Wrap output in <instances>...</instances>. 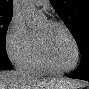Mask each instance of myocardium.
Here are the masks:
<instances>
[{
    "label": "myocardium",
    "mask_w": 89,
    "mask_h": 89,
    "mask_svg": "<svg viewBox=\"0 0 89 89\" xmlns=\"http://www.w3.org/2000/svg\"><path fill=\"white\" fill-rule=\"evenodd\" d=\"M50 25H53V26H58V27H61L65 30V32L67 33V35L69 36V38L71 39L73 45H74V48H75V60H74V63L68 67V68H65V69H56L52 66V64L50 63V60L48 58V55L46 53V50L44 48V45L42 43V41L40 40L39 36L34 33V36H35V39H36V44H37V49H38V52H39V55L43 61V63L46 65V67L51 70L54 74L56 75H61V74H64L68 71H71L73 69H75L79 63V60H80V49H79V45L77 43V40L76 38L74 37L72 31L69 29V27L60 22V21H57V20H48L47 21Z\"/></svg>",
    "instance_id": "myocardium-1"
}]
</instances>
